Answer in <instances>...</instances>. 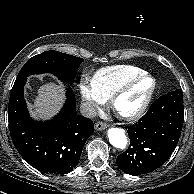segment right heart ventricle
<instances>
[{
    "label": "right heart ventricle",
    "instance_id": "e07e8e85",
    "mask_svg": "<svg viewBox=\"0 0 194 194\" xmlns=\"http://www.w3.org/2000/svg\"><path fill=\"white\" fill-rule=\"evenodd\" d=\"M144 72L132 65L108 66L97 70L92 76V82L100 96L107 100L122 83Z\"/></svg>",
    "mask_w": 194,
    "mask_h": 194
}]
</instances>
